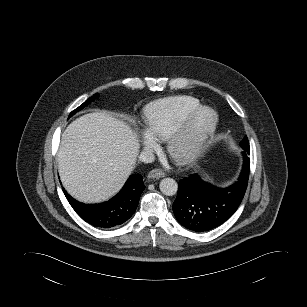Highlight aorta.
Returning <instances> with one entry per match:
<instances>
[{
    "label": "aorta",
    "instance_id": "762f6f07",
    "mask_svg": "<svg viewBox=\"0 0 307 307\" xmlns=\"http://www.w3.org/2000/svg\"><path fill=\"white\" fill-rule=\"evenodd\" d=\"M160 191L166 196H173L177 193V182L172 178H164L159 185Z\"/></svg>",
    "mask_w": 307,
    "mask_h": 307
}]
</instances>
